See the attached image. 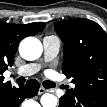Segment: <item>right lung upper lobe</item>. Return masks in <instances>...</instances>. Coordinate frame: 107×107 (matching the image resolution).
I'll return each instance as SVG.
<instances>
[{
    "mask_svg": "<svg viewBox=\"0 0 107 107\" xmlns=\"http://www.w3.org/2000/svg\"><path fill=\"white\" fill-rule=\"evenodd\" d=\"M45 28L44 23L11 24L0 22V85L3 84L2 74L14 63V55L19 42L40 32Z\"/></svg>",
    "mask_w": 107,
    "mask_h": 107,
    "instance_id": "1",
    "label": "right lung upper lobe"
}]
</instances>
